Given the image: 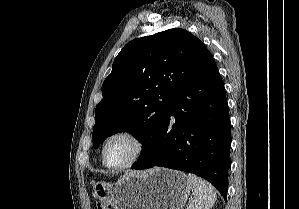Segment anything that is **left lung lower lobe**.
Here are the masks:
<instances>
[{"instance_id": "left-lung-lower-lobe-1", "label": "left lung lower lobe", "mask_w": 299, "mask_h": 209, "mask_svg": "<svg viewBox=\"0 0 299 209\" xmlns=\"http://www.w3.org/2000/svg\"><path fill=\"white\" fill-rule=\"evenodd\" d=\"M174 116L175 123L168 127ZM231 129L225 88L214 59L170 99L133 169L153 166L194 173L227 198Z\"/></svg>"}]
</instances>
